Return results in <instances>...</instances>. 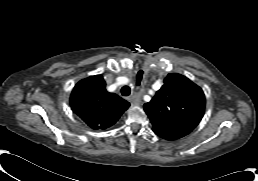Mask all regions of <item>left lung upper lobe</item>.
<instances>
[{"label":"left lung upper lobe","instance_id":"1","mask_svg":"<svg viewBox=\"0 0 258 181\" xmlns=\"http://www.w3.org/2000/svg\"><path fill=\"white\" fill-rule=\"evenodd\" d=\"M153 131L167 140L189 134L200 122L205 110L202 89L177 73L169 74L152 100L144 105Z\"/></svg>","mask_w":258,"mask_h":181}]
</instances>
